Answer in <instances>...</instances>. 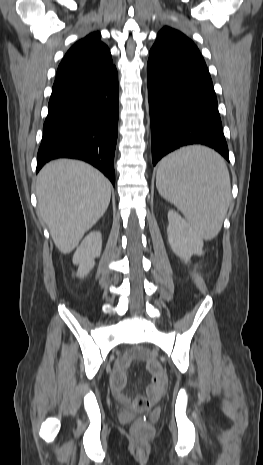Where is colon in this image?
I'll list each match as a JSON object with an SVG mask.
<instances>
[{
  "label": "colon",
  "instance_id": "colon-1",
  "mask_svg": "<svg viewBox=\"0 0 263 465\" xmlns=\"http://www.w3.org/2000/svg\"><path fill=\"white\" fill-rule=\"evenodd\" d=\"M161 392L162 390L159 388H152L149 393L150 398L139 397L135 399L134 401L135 409L138 411L149 409L152 405V399H155L158 396H160ZM134 429L138 434L145 435L151 431V426L149 423L139 418L134 424Z\"/></svg>",
  "mask_w": 263,
  "mask_h": 465
}]
</instances>
